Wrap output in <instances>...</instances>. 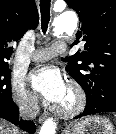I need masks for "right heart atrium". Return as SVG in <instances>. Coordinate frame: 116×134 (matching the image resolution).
Segmentation results:
<instances>
[{
  "label": "right heart atrium",
  "mask_w": 116,
  "mask_h": 134,
  "mask_svg": "<svg viewBox=\"0 0 116 134\" xmlns=\"http://www.w3.org/2000/svg\"><path fill=\"white\" fill-rule=\"evenodd\" d=\"M10 96L16 106L25 113H35L38 109V101L25 87L17 82L10 87Z\"/></svg>",
  "instance_id": "1"
}]
</instances>
